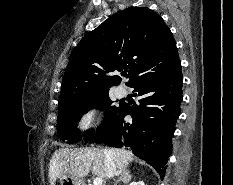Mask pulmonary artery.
Masks as SVG:
<instances>
[{"label":"pulmonary artery","instance_id":"e3ab8cb5","mask_svg":"<svg viewBox=\"0 0 233 185\" xmlns=\"http://www.w3.org/2000/svg\"><path fill=\"white\" fill-rule=\"evenodd\" d=\"M116 92L119 97H124L126 95V89L123 86L118 87Z\"/></svg>","mask_w":233,"mask_h":185}]
</instances>
